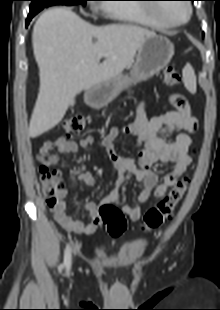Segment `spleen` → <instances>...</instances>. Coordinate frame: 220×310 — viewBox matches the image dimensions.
<instances>
[{"label":"spleen","mask_w":220,"mask_h":310,"mask_svg":"<svg viewBox=\"0 0 220 310\" xmlns=\"http://www.w3.org/2000/svg\"><path fill=\"white\" fill-rule=\"evenodd\" d=\"M183 81L185 87L189 92H196V77L194 70L190 64H187L183 69Z\"/></svg>","instance_id":"3e777b00"}]
</instances>
